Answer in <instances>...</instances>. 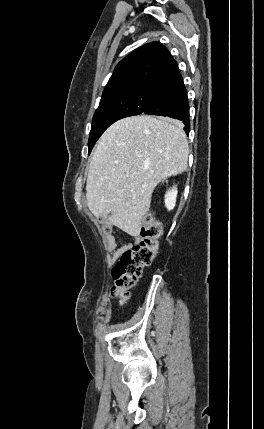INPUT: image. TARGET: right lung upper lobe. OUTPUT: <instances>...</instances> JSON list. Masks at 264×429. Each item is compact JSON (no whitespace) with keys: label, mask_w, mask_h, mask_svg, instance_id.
I'll return each mask as SVG.
<instances>
[{"label":"right lung upper lobe","mask_w":264,"mask_h":429,"mask_svg":"<svg viewBox=\"0 0 264 429\" xmlns=\"http://www.w3.org/2000/svg\"><path fill=\"white\" fill-rule=\"evenodd\" d=\"M177 71L176 61L161 43H148L119 62L103 95L137 85L160 87Z\"/></svg>","instance_id":"1"}]
</instances>
